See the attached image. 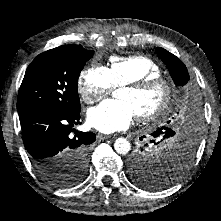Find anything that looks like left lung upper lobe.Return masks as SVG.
<instances>
[{
    "label": "left lung upper lobe",
    "mask_w": 221,
    "mask_h": 221,
    "mask_svg": "<svg viewBox=\"0 0 221 221\" xmlns=\"http://www.w3.org/2000/svg\"><path fill=\"white\" fill-rule=\"evenodd\" d=\"M157 54L166 64L175 84L186 86L189 81V73L183 62L160 47L157 48ZM158 129L153 134L156 139L151 141L154 144H158L156 140L163 137L156 135ZM129 162L132 180L147 189H160L175 182L188 164V161L183 159L181 152L155 157L143 149L135 152Z\"/></svg>",
    "instance_id": "1"
}]
</instances>
